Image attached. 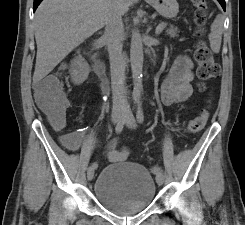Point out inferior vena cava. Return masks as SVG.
<instances>
[{"label":"inferior vena cava","mask_w":245,"mask_h":225,"mask_svg":"<svg viewBox=\"0 0 245 225\" xmlns=\"http://www.w3.org/2000/svg\"><path fill=\"white\" fill-rule=\"evenodd\" d=\"M105 25L103 39L106 42L110 60L113 110H119L127 106V99L125 96L126 62L122 53L124 27L117 0L109 2Z\"/></svg>","instance_id":"1"}]
</instances>
